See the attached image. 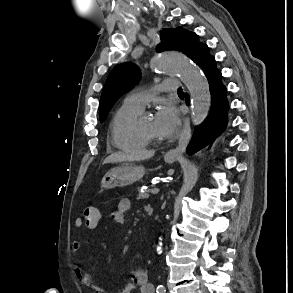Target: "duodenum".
<instances>
[{
	"label": "duodenum",
	"instance_id": "410a0bca",
	"mask_svg": "<svg viewBox=\"0 0 293 293\" xmlns=\"http://www.w3.org/2000/svg\"><path fill=\"white\" fill-rule=\"evenodd\" d=\"M145 212L147 215L151 216L153 214V207L152 206H146Z\"/></svg>",
	"mask_w": 293,
	"mask_h": 293
}]
</instances>
